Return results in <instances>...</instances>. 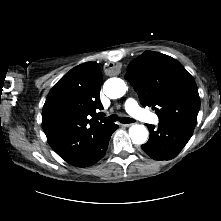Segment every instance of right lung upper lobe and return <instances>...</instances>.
Instances as JSON below:
<instances>
[{
	"instance_id": "right-lung-upper-lobe-1",
	"label": "right lung upper lobe",
	"mask_w": 221,
	"mask_h": 221,
	"mask_svg": "<svg viewBox=\"0 0 221 221\" xmlns=\"http://www.w3.org/2000/svg\"><path fill=\"white\" fill-rule=\"evenodd\" d=\"M103 82L95 62L80 64L50 90L42 112V127L52 149L65 161L83 150L110 123L98 120L103 113Z\"/></svg>"
}]
</instances>
